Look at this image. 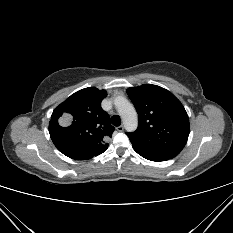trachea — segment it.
Returning <instances> with one entry per match:
<instances>
[{"mask_svg":"<svg viewBox=\"0 0 233 233\" xmlns=\"http://www.w3.org/2000/svg\"><path fill=\"white\" fill-rule=\"evenodd\" d=\"M111 123L114 125V126H120L121 124V119L118 115H114L111 117Z\"/></svg>","mask_w":233,"mask_h":233,"instance_id":"trachea-1","label":"trachea"}]
</instances>
